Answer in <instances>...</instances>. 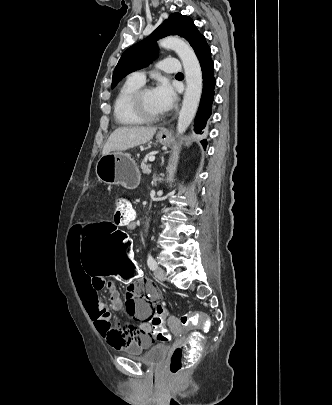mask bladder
Listing matches in <instances>:
<instances>
[{"mask_svg": "<svg viewBox=\"0 0 332 405\" xmlns=\"http://www.w3.org/2000/svg\"><path fill=\"white\" fill-rule=\"evenodd\" d=\"M167 350L168 348L166 345L158 344L153 346L146 352L136 351L131 348H126L123 350V352L145 365L155 366L160 364L164 360L167 354Z\"/></svg>", "mask_w": 332, "mask_h": 405, "instance_id": "obj_1", "label": "bladder"}]
</instances>
